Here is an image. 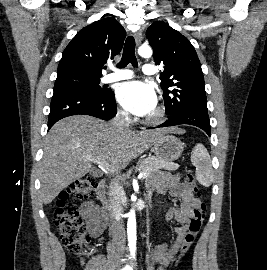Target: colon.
I'll return each mask as SVG.
<instances>
[{"label":"colon","instance_id":"1","mask_svg":"<svg viewBox=\"0 0 267 270\" xmlns=\"http://www.w3.org/2000/svg\"><path fill=\"white\" fill-rule=\"evenodd\" d=\"M185 184L199 196L197 183L192 174L186 175ZM95 187L96 182L91 177L74 181L59 197L57 209L54 212V224L63 246L68 252L80 257L84 256L88 251L89 237L85 224L76 208V203L91 198ZM204 218L205 205L200 203L188 223L180 248V257L185 256L193 246L202 228Z\"/></svg>","mask_w":267,"mask_h":270}]
</instances>
